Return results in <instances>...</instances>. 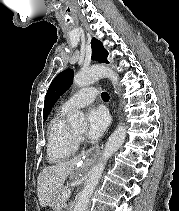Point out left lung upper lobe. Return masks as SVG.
<instances>
[{
    "label": "left lung upper lobe",
    "mask_w": 179,
    "mask_h": 211,
    "mask_svg": "<svg viewBox=\"0 0 179 211\" xmlns=\"http://www.w3.org/2000/svg\"><path fill=\"white\" fill-rule=\"evenodd\" d=\"M92 59L100 63H108V52L104 49L102 43L93 38L91 41ZM73 82V70L67 69L59 73L52 83L45 96V105L43 110L44 120H46L55 102L64 94Z\"/></svg>",
    "instance_id": "obj_1"
}]
</instances>
